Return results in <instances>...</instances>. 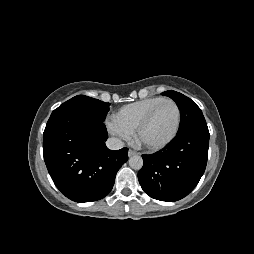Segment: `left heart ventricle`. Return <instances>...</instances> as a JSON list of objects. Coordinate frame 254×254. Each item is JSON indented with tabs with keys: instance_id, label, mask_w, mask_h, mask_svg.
Listing matches in <instances>:
<instances>
[{
	"instance_id": "obj_1",
	"label": "left heart ventricle",
	"mask_w": 254,
	"mask_h": 254,
	"mask_svg": "<svg viewBox=\"0 0 254 254\" xmlns=\"http://www.w3.org/2000/svg\"><path fill=\"white\" fill-rule=\"evenodd\" d=\"M177 122V110L171 103L163 104L151 122L143 130L141 139L149 145L160 144L174 131Z\"/></svg>"
}]
</instances>
